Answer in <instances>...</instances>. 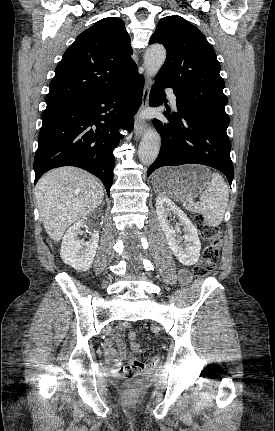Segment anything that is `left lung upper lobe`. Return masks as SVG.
Listing matches in <instances>:
<instances>
[{"instance_id":"1","label":"left lung upper lobe","mask_w":275,"mask_h":431,"mask_svg":"<svg viewBox=\"0 0 275 431\" xmlns=\"http://www.w3.org/2000/svg\"><path fill=\"white\" fill-rule=\"evenodd\" d=\"M153 43H161L167 51L156 79L169 84L183 107L229 123L220 63L204 34L181 16H166L157 24Z\"/></svg>"}]
</instances>
